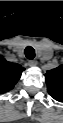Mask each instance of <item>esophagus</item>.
I'll return each instance as SVG.
<instances>
[{"instance_id":"obj_1","label":"esophagus","mask_w":63,"mask_h":123,"mask_svg":"<svg viewBox=\"0 0 63 123\" xmlns=\"http://www.w3.org/2000/svg\"><path fill=\"white\" fill-rule=\"evenodd\" d=\"M28 64L31 67H35L37 65V61L36 60H30Z\"/></svg>"}]
</instances>
